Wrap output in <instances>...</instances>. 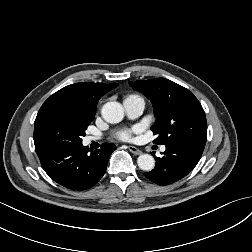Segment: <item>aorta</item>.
Returning a JSON list of instances; mask_svg holds the SVG:
<instances>
[{
  "instance_id": "1",
  "label": "aorta",
  "mask_w": 252,
  "mask_h": 252,
  "mask_svg": "<svg viewBox=\"0 0 252 252\" xmlns=\"http://www.w3.org/2000/svg\"><path fill=\"white\" fill-rule=\"evenodd\" d=\"M102 117L108 123H119L124 118L123 106L116 101L107 102L103 105ZM139 168L143 171H151L155 166V160L150 154H142L137 159Z\"/></svg>"
}]
</instances>
